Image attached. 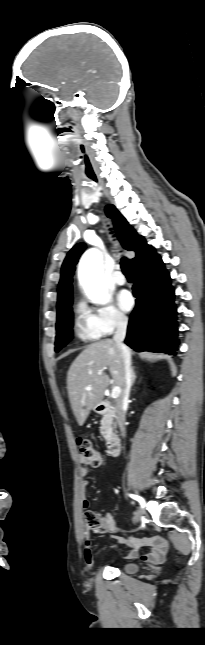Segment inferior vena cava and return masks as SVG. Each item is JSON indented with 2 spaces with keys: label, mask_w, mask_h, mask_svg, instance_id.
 <instances>
[{
  "label": "inferior vena cava",
  "mask_w": 205,
  "mask_h": 645,
  "mask_svg": "<svg viewBox=\"0 0 205 645\" xmlns=\"http://www.w3.org/2000/svg\"><path fill=\"white\" fill-rule=\"evenodd\" d=\"M128 320L125 317H120L117 321V328L113 337L114 342L117 344L121 351L124 369V387L121 397L116 404V421L120 428L121 435L125 437V408L128 404L130 388L132 385V368H131V353L129 348L123 343Z\"/></svg>",
  "instance_id": "inferior-vena-cava-1"
}]
</instances>
